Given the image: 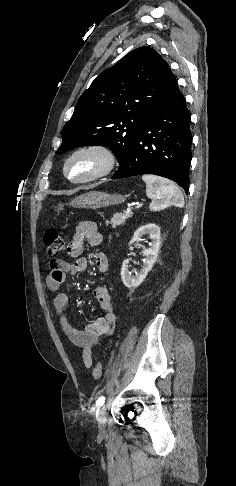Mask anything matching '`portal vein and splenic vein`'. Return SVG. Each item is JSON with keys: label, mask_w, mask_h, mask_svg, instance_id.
Here are the masks:
<instances>
[{"label": "portal vein and splenic vein", "mask_w": 236, "mask_h": 486, "mask_svg": "<svg viewBox=\"0 0 236 486\" xmlns=\"http://www.w3.org/2000/svg\"><path fill=\"white\" fill-rule=\"evenodd\" d=\"M126 211L127 213L131 212V207H128Z\"/></svg>", "instance_id": "1"}]
</instances>
